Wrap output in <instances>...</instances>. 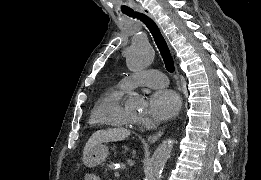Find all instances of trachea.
<instances>
[{"mask_svg": "<svg viewBox=\"0 0 261 180\" xmlns=\"http://www.w3.org/2000/svg\"><path fill=\"white\" fill-rule=\"evenodd\" d=\"M123 13H125L129 17L139 18L148 27L151 34L153 35L157 47L159 48V51L161 52L166 69L168 70V72L173 73L175 68L172 55L170 53L166 41L164 40L155 22H153V20H151V18L147 17L146 15H139L137 12H134L133 10H123Z\"/></svg>", "mask_w": 261, "mask_h": 180, "instance_id": "3493384b", "label": "trachea"}]
</instances>
